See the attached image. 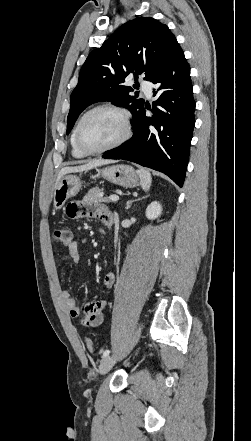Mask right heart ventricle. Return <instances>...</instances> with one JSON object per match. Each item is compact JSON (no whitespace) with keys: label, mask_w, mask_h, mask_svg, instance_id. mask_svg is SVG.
<instances>
[{"label":"right heart ventricle","mask_w":251,"mask_h":441,"mask_svg":"<svg viewBox=\"0 0 251 441\" xmlns=\"http://www.w3.org/2000/svg\"><path fill=\"white\" fill-rule=\"evenodd\" d=\"M76 128V127H75ZM75 128L72 131L71 137H70V143H71V148H72V154L75 158L81 159L84 158L86 155L84 153H82L78 147L76 146L75 143Z\"/></svg>","instance_id":"right-heart-ventricle-1"}]
</instances>
